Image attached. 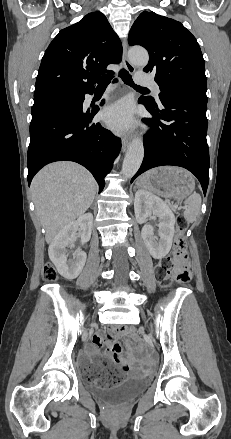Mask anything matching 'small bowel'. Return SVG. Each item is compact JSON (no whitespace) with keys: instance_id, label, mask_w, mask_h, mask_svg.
Masks as SVG:
<instances>
[{"instance_id":"obj_1","label":"small bowel","mask_w":231,"mask_h":439,"mask_svg":"<svg viewBox=\"0 0 231 439\" xmlns=\"http://www.w3.org/2000/svg\"><path fill=\"white\" fill-rule=\"evenodd\" d=\"M117 330L112 329L106 335L102 332H97L92 340V344L87 348V354L91 357L101 356L102 362L106 367L111 368L114 364L122 365L125 367H131L134 374H142V370L136 368L135 359L132 355L125 356L123 354V348L120 343L117 342ZM106 341L111 357L106 353L100 354L98 347L103 342Z\"/></svg>"}]
</instances>
